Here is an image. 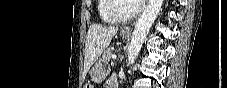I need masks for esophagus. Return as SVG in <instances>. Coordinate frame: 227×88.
Instances as JSON below:
<instances>
[{
    "label": "esophagus",
    "mask_w": 227,
    "mask_h": 88,
    "mask_svg": "<svg viewBox=\"0 0 227 88\" xmlns=\"http://www.w3.org/2000/svg\"><path fill=\"white\" fill-rule=\"evenodd\" d=\"M124 30L125 31H130V28L129 27H125Z\"/></svg>",
    "instance_id": "1"
}]
</instances>
